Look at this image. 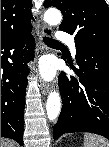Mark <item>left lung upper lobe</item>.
Wrapping results in <instances>:
<instances>
[{
    "label": "left lung upper lobe",
    "mask_w": 109,
    "mask_h": 147,
    "mask_svg": "<svg viewBox=\"0 0 109 147\" xmlns=\"http://www.w3.org/2000/svg\"><path fill=\"white\" fill-rule=\"evenodd\" d=\"M63 13L59 28L75 36V42L109 50V8L105 0H45Z\"/></svg>",
    "instance_id": "obj_1"
}]
</instances>
